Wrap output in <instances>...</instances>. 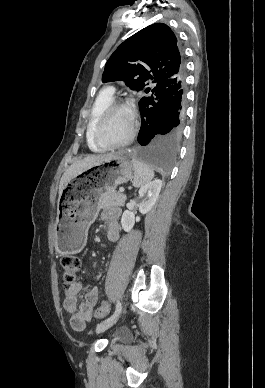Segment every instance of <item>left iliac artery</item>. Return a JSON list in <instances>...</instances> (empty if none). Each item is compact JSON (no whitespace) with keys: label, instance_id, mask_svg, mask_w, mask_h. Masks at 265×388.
Returning a JSON list of instances; mask_svg holds the SVG:
<instances>
[{"label":"left iliac artery","instance_id":"44dca946","mask_svg":"<svg viewBox=\"0 0 265 388\" xmlns=\"http://www.w3.org/2000/svg\"><path fill=\"white\" fill-rule=\"evenodd\" d=\"M121 308H122L121 303L118 301L116 304V309H115L114 314L111 317H109L108 319H106L105 321H109V320L113 319L114 317H116L120 313Z\"/></svg>","mask_w":265,"mask_h":388}]
</instances>
